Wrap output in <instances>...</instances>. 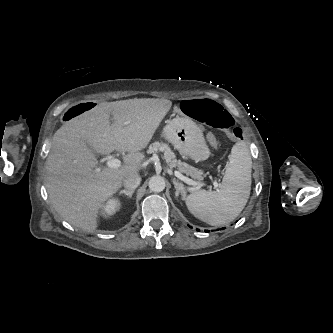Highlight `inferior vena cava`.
Returning <instances> with one entry per match:
<instances>
[{"instance_id": "1", "label": "inferior vena cava", "mask_w": 333, "mask_h": 333, "mask_svg": "<svg viewBox=\"0 0 333 333\" xmlns=\"http://www.w3.org/2000/svg\"><path fill=\"white\" fill-rule=\"evenodd\" d=\"M141 182V177L138 173H130L123 179V185L127 190L136 189Z\"/></svg>"}]
</instances>
